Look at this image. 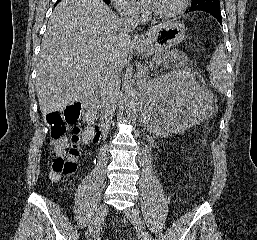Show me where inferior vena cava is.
Returning a JSON list of instances; mask_svg holds the SVG:
<instances>
[{
  "label": "inferior vena cava",
  "mask_w": 257,
  "mask_h": 240,
  "mask_svg": "<svg viewBox=\"0 0 257 240\" xmlns=\"http://www.w3.org/2000/svg\"><path fill=\"white\" fill-rule=\"evenodd\" d=\"M138 8L131 4H125L121 9L118 21V32L121 37H127L128 33L138 25ZM121 85L120 74L114 73L105 79L99 86L101 99L102 126L107 133L113 114L117 107V97Z\"/></svg>",
  "instance_id": "obj_1"
}]
</instances>
